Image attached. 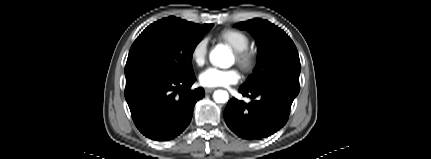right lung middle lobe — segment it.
<instances>
[{"label": "right lung middle lobe", "instance_id": "obj_1", "mask_svg": "<svg viewBox=\"0 0 431 159\" xmlns=\"http://www.w3.org/2000/svg\"><path fill=\"white\" fill-rule=\"evenodd\" d=\"M212 26L192 27L169 18L149 25L130 48L125 66L126 80L151 70L178 77L193 76L192 54Z\"/></svg>", "mask_w": 431, "mask_h": 159}]
</instances>
